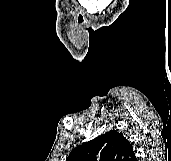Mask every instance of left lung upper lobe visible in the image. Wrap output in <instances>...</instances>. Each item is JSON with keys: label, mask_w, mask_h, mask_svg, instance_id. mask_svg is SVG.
<instances>
[{"label": "left lung upper lobe", "mask_w": 171, "mask_h": 161, "mask_svg": "<svg viewBox=\"0 0 171 161\" xmlns=\"http://www.w3.org/2000/svg\"><path fill=\"white\" fill-rule=\"evenodd\" d=\"M132 144L115 130L75 148L66 161H132Z\"/></svg>", "instance_id": "left-lung-upper-lobe-1"}]
</instances>
